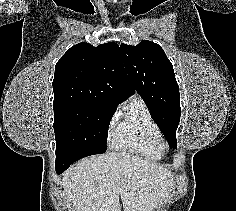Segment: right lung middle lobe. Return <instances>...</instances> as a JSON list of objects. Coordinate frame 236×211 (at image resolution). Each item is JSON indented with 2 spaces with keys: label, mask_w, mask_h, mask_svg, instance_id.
Returning a JSON list of instances; mask_svg holds the SVG:
<instances>
[{
  "label": "right lung middle lobe",
  "mask_w": 236,
  "mask_h": 211,
  "mask_svg": "<svg viewBox=\"0 0 236 211\" xmlns=\"http://www.w3.org/2000/svg\"><path fill=\"white\" fill-rule=\"evenodd\" d=\"M114 106L68 104L54 108L56 155L70 151L106 152Z\"/></svg>",
  "instance_id": "right-lung-middle-lobe-1"
}]
</instances>
